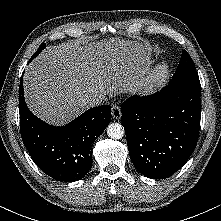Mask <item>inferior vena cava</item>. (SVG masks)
<instances>
[{"instance_id": "602c4592", "label": "inferior vena cava", "mask_w": 221, "mask_h": 221, "mask_svg": "<svg viewBox=\"0 0 221 221\" xmlns=\"http://www.w3.org/2000/svg\"><path fill=\"white\" fill-rule=\"evenodd\" d=\"M103 102H104L103 98H101L97 95L87 99V103L90 107H95V106L101 105V104H103Z\"/></svg>"}]
</instances>
